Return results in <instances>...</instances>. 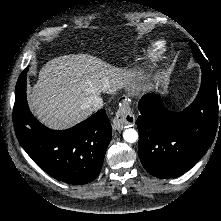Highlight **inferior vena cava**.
<instances>
[{
	"mask_svg": "<svg viewBox=\"0 0 221 221\" xmlns=\"http://www.w3.org/2000/svg\"><path fill=\"white\" fill-rule=\"evenodd\" d=\"M103 105V100L98 95L90 96L86 99L83 107L92 111L98 110Z\"/></svg>",
	"mask_w": 221,
	"mask_h": 221,
	"instance_id": "602c4592",
	"label": "inferior vena cava"
}]
</instances>
